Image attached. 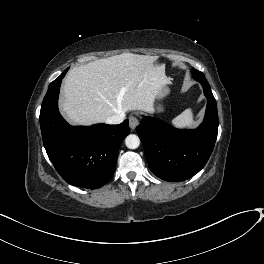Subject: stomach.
Returning a JSON list of instances; mask_svg holds the SVG:
<instances>
[{
  "label": "stomach",
  "instance_id": "stomach-1",
  "mask_svg": "<svg viewBox=\"0 0 264 264\" xmlns=\"http://www.w3.org/2000/svg\"><path fill=\"white\" fill-rule=\"evenodd\" d=\"M170 92V89L168 87V84L164 85L160 91L157 93L156 95V99L158 100H161L163 99L164 97H166ZM154 111H158V112H161L163 111V107L161 104H156L155 108H154Z\"/></svg>",
  "mask_w": 264,
  "mask_h": 264
}]
</instances>
